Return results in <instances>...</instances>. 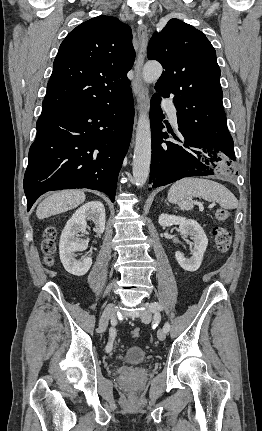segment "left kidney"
Listing matches in <instances>:
<instances>
[{"instance_id": "5707ae66", "label": "left kidney", "mask_w": 262, "mask_h": 431, "mask_svg": "<svg viewBox=\"0 0 262 431\" xmlns=\"http://www.w3.org/2000/svg\"><path fill=\"white\" fill-rule=\"evenodd\" d=\"M159 224L163 227L179 225L181 234L191 236L194 242L192 256L188 258L177 251L175 252V258L184 270L190 272L198 270L208 245L207 236L198 222L181 216L161 214L159 216Z\"/></svg>"}]
</instances>
